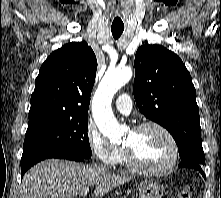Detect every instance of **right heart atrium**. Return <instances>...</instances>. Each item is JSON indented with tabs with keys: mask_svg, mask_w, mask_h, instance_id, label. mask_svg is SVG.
<instances>
[{
	"mask_svg": "<svg viewBox=\"0 0 221 198\" xmlns=\"http://www.w3.org/2000/svg\"><path fill=\"white\" fill-rule=\"evenodd\" d=\"M87 143L93 156L106 166L117 164L121 148L111 143L94 126L89 125L86 131Z\"/></svg>",
	"mask_w": 221,
	"mask_h": 198,
	"instance_id": "d8ad5b80",
	"label": "right heart atrium"
}]
</instances>
